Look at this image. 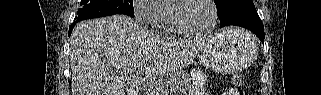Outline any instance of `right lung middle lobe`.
Returning <instances> with one entry per match:
<instances>
[{
	"instance_id": "obj_1",
	"label": "right lung middle lobe",
	"mask_w": 321,
	"mask_h": 95,
	"mask_svg": "<svg viewBox=\"0 0 321 95\" xmlns=\"http://www.w3.org/2000/svg\"><path fill=\"white\" fill-rule=\"evenodd\" d=\"M77 12V22L114 14L134 17L133 0H82Z\"/></svg>"
}]
</instances>
